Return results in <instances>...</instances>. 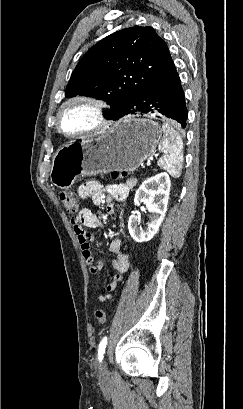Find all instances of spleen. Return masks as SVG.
I'll return each instance as SVG.
<instances>
[{
  "instance_id": "obj_1",
  "label": "spleen",
  "mask_w": 243,
  "mask_h": 409,
  "mask_svg": "<svg viewBox=\"0 0 243 409\" xmlns=\"http://www.w3.org/2000/svg\"><path fill=\"white\" fill-rule=\"evenodd\" d=\"M163 137L159 150L163 153L157 164L171 176L177 178L181 175L183 162V141L180 134L168 123L162 125Z\"/></svg>"
}]
</instances>
